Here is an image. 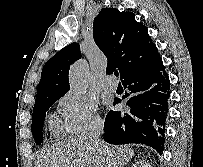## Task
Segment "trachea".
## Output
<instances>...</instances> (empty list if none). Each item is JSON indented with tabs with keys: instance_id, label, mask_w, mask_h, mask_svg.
I'll return each instance as SVG.
<instances>
[{
	"instance_id": "trachea-1",
	"label": "trachea",
	"mask_w": 203,
	"mask_h": 167,
	"mask_svg": "<svg viewBox=\"0 0 203 167\" xmlns=\"http://www.w3.org/2000/svg\"><path fill=\"white\" fill-rule=\"evenodd\" d=\"M114 75H115L116 77H118V75H119L118 71H115V72H114Z\"/></svg>"
}]
</instances>
